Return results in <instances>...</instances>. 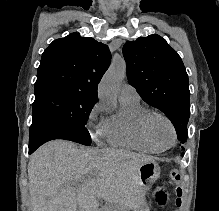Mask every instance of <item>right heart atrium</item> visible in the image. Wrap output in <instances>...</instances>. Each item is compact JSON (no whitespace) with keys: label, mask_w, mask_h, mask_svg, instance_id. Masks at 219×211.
I'll return each mask as SVG.
<instances>
[{"label":"right heart atrium","mask_w":219,"mask_h":211,"mask_svg":"<svg viewBox=\"0 0 219 211\" xmlns=\"http://www.w3.org/2000/svg\"><path fill=\"white\" fill-rule=\"evenodd\" d=\"M107 107L102 101L93 105L87 115V125L93 129V139L99 142L108 134L109 117H107Z\"/></svg>","instance_id":"1"}]
</instances>
